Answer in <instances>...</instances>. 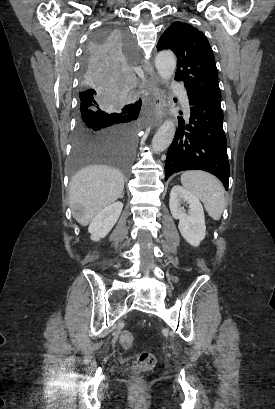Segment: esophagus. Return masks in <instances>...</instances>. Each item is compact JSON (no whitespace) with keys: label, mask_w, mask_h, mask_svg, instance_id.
Listing matches in <instances>:
<instances>
[{"label":"esophagus","mask_w":275,"mask_h":409,"mask_svg":"<svg viewBox=\"0 0 275 409\" xmlns=\"http://www.w3.org/2000/svg\"><path fill=\"white\" fill-rule=\"evenodd\" d=\"M143 69L147 79L149 91L153 97V116L156 123L160 124L165 115L162 90L159 86V78L153 72L148 61H144Z\"/></svg>","instance_id":"obj_1"}]
</instances>
